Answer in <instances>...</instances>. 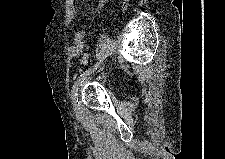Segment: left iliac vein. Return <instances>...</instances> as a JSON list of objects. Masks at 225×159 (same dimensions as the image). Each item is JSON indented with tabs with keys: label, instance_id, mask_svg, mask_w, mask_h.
<instances>
[{
	"label": "left iliac vein",
	"instance_id": "obj_1",
	"mask_svg": "<svg viewBox=\"0 0 225 159\" xmlns=\"http://www.w3.org/2000/svg\"><path fill=\"white\" fill-rule=\"evenodd\" d=\"M102 69H103V67L100 68L99 71H101ZM72 104H73L74 112L76 113L77 116H80L81 113H80V107H79V102H78V96H76L72 99Z\"/></svg>",
	"mask_w": 225,
	"mask_h": 159
}]
</instances>
